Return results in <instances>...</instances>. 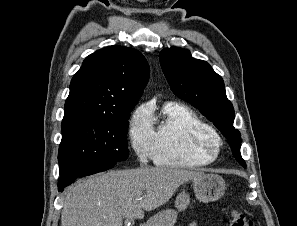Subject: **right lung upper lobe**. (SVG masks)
<instances>
[{
	"mask_svg": "<svg viewBox=\"0 0 297 226\" xmlns=\"http://www.w3.org/2000/svg\"><path fill=\"white\" fill-rule=\"evenodd\" d=\"M149 79V66L136 49L108 46L89 55L73 76L63 121L121 117L135 106Z\"/></svg>",
	"mask_w": 297,
	"mask_h": 226,
	"instance_id": "right-lung-upper-lobe-1",
	"label": "right lung upper lobe"
}]
</instances>
